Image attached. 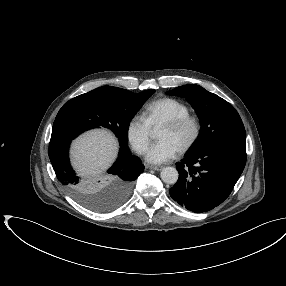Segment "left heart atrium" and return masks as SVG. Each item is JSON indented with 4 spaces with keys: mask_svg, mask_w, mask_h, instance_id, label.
<instances>
[{
    "mask_svg": "<svg viewBox=\"0 0 286 286\" xmlns=\"http://www.w3.org/2000/svg\"><path fill=\"white\" fill-rule=\"evenodd\" d=\"M180 149L170 140H160L154 144L146 155V160L150 163L160 164L173 160Z\"/></svg>",
    "mask_w": 286,
    "mask_h": 286,
    "instance_id": "obj_1",
    "label": "left heart atrium"
}]
</instances>
